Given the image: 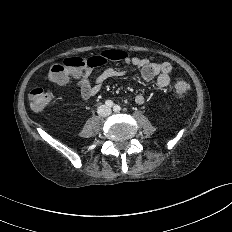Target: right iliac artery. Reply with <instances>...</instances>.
<instances>
[{"instance_id":"obj_1","label":"right iliac artery","mask_w":232,"mask_h":232,"mask_svg":"<svg viewBox=\"0 0 232 232\" xmlns=\"http://www.w3.org/2000/svg\"><path fill=\"white\" fill-rule=\"evenodd\" d=\"M105 105H106L107 107H112V106H113V102H112L111 100H107V101L105 102Z\"/></svg>"}]
</instances>
